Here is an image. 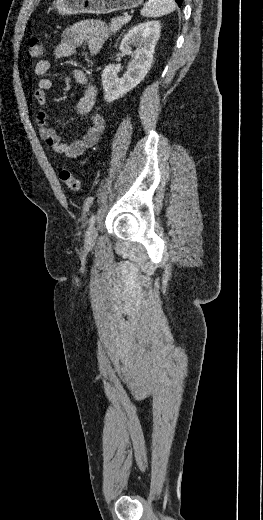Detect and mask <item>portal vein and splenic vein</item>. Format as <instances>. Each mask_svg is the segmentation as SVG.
<instances>
[{
  "instance_id": "1",
  "label": "portal vein and splenic vein",
  "mask_w": 263,
  "mask_h": 520,
  "mask_svg": "<svg viewBox=\"0 0 263 520\" xmlns=\"http://www.w3.org/2000/svg\"><path fill=\"white\" fill-rule=\"evenodd\" d=\"M124 18L125 20H130L131 16L128 13H126Z\"/></svg>"
}]
</instances>
